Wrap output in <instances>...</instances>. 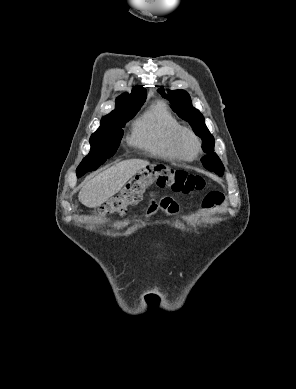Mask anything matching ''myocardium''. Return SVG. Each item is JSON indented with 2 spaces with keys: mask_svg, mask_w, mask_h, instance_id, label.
Masks as SVG:
<instances>
[{
  "mask_svg": "<svg viewBox=\"0 0 296 389\" xmlns=\"http://www.w3.org/2000/svg\"><path fill=\"white\" fill-rule=\"evenodd\" d=\"M185 141H190L194 146V153L188 156L184 152ZM172 148L176 156L187 162L194 161L201 153L202 144L198 135L190 128L180 127L176 130L172 138Z\"/></svg>",
  "mask_w": 296,
  "mask_h": 389,
  "instance_id": "1",
  "label": "myocardium"
}]
</instances>
